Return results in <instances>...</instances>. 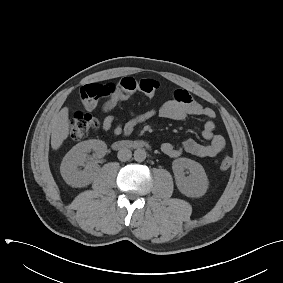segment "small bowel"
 Segmentation results:
<instances>
[{
  "mask_svg": "<svg viewBox=\"0 0 283 283\" xmlns=\"http://www.w3.org/2000/svg\"><path fill=\"white\" fill-rule=\"evenodd\" d=\"M113 84H88L81 89V100L87 111L94 110L98 101L107 98L102 106L105 113L115 108L118 101L112 99L111 88ZM130 119L125 123L117 122L113 115H107L102 121V129L111 131L116 136H129L139 125H142L155 116L185 121L191 116H201L206 118L202 129V137L207 143H199L194 139H186L180 146H176L170 142L161 145L162 152L171 157H179L183 153H188L200 158H212L219 155L226 146L223 136L215 134V112L209 107H205L197 102L186 90H176L173 99L165 102L158 108H151L142 113L130 112Z\"/></svg>",
  "mask_w": 283,
  "mask_h": 283,
  "instance_id": "1",
  "label": "small bowel"
}]
</instances>
